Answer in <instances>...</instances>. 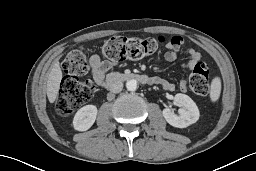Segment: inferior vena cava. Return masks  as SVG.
Returning <instances> with one entry per match:
<instances>
[{
    "mask_svg": "<svg viewBox=\"0 0 256 171\" xmlns=\"http://www.w3.org/2000/svg\"><path fill=\"white\" fill-rule=\"evenodd\" d=\"M109 90L113 93H119L123 89V83L121 81H113L109 84Z\"/></svg>",
    "mask_w": 256,
    "mask_h": 171,
    "instance_id": "602c4592",
    "label": "inferior vena cava"
}]
</instances>
